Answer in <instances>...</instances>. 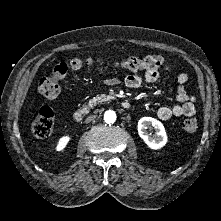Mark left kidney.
I'll return each instance as SVG.
<instances>
[{"instance_id":"obj_1","label":"left kidney","mask_w":221,"mask_h":221,"mask_svg":"<svg viewBox=\"0 0 221 221\" xmlns=\"http://www.w3.org/2000/svg\"><path fill=\"white\" fill-rule=\"evenodd\" d=\"M138 134L151 149L157 150L162 148L167 142V135L163 124L152 117H143L138 121ZM153 128L155 136L150 137L146 130Z\"/></svg>"}]
</instances>
